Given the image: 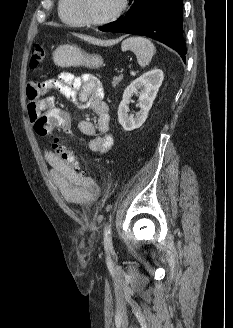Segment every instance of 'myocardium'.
Instances as JSON below:
<instances>
[{
  "mask_svg": "<svg viewBox=\"0 0 233 328\" xmlns=\"http://www.w3.org/2000/svg\"><path fill=\"white\" fill-rule=\"evenodd\" d=\"M127 5H128V0H120L117 10L112 15L101 20H93L85 15L83 9V0H76L75 8L79 18L81 19L84 25L102 26L117 20L124 13V11L127 8Z\"/></svg>",
  "mask_w": 233,
  "mask_h": 328,
  "instance_id": "obj_1",
  "label": "myocardium"
}]
</instances>
